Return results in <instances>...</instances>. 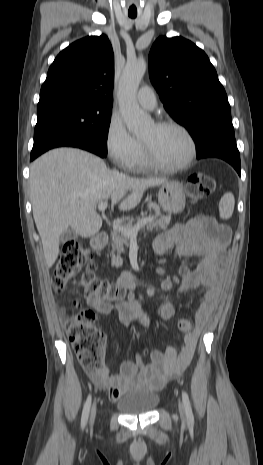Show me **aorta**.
I'll list each match as a JSON object with an SVG mask.
<instances>
[{"label":"aorta","instance_id":"1","mask_svg":"<svg viewBox=\"0 0 263 465\" xmlns=\"http://www.w3.org/2000/svg\"><path fill=\"white\" fill-rule=\"evenodd\" d=\"M146 71V62L142 59L128 61L118 86V103L128 130L134 134L144 132L150 124V117L140 109L136 94L140 81Z\"/></svg>","mask_w":263,"mask_h":465}]
</instances>
